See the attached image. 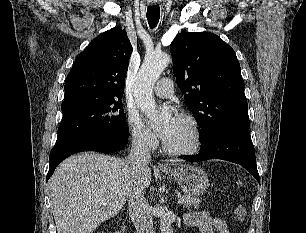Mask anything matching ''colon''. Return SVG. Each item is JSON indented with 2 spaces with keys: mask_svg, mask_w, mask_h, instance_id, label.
Here are the masks:
<instances>
[{
  "mask_svg": "<svg viewBox=\"0 0 306 233\" xmlns=\"http://www.w3.org/2000/svg\"><path fill=\"white\" fill-rule=\"evenodd\" d=\"M247 214V209L244 205H238L235 209H234V218L237 221H243L246 217ZM96 233H105L102 230L97 231Z\"/></svg>",
  "mask_w": 306,
  "mask_h": 233,
  "instance_id": "5ec220e1",
  "label": "colon"
}]
</instances>
